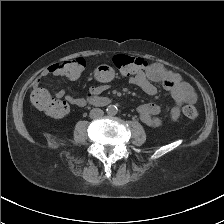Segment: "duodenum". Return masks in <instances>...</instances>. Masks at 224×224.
I'll use <instances>...</instances> for the list:
<instances>
[{
	"instance_id": "duodenum-1",
	"label": "duodenum",
	"mask_w": 224,
	"mask_h": 224,
	"mask_svg": "<svg viewBox=\"0 0 224 224\" xmlns=\"http://www.w3.org/2000/svg\"><path fill=\"white\" fill-rule=\"evenodd\" d=\"M94 102L98 105H101V106H105V105H108L110 103V98L108 97H99L94 100Z\"/></svg>"
}]
</instances>
